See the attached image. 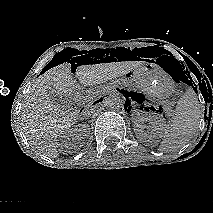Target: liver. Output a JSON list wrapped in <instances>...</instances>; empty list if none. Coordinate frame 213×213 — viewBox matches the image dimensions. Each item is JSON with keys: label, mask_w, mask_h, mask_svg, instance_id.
<instances>
[{"label": "liver", "mask_w": 213, "mask_h": 213, "mask_svg": "<svg viewBox=\"0 0 213 213\" xmlns=\"http://www.w3.org/2000/svg\"><path fill=\"white\" fill-rule=\"evenodd\" d=\"M143 62L124 61L104 64H89L77 67L76 76L84 85H94L105 79L125 75L143 65ZM71 64L65 62L47 70L28 91L21 111L23 130L30 144L42 154L57 158L56 139L70 129L77 116L63 111L54 103L48 91L67 97L75 89Z\"/></svg>", "instance_id": "obj_1"}]
</instances>
